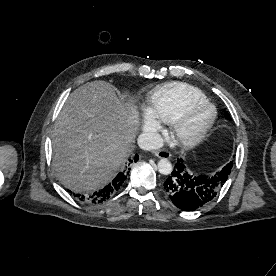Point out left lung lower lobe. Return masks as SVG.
I'll return each mask as SVG.
<instances>
[{"label": "left lung lower lobe", "instance_id": "left-lung-lower-lobe-1", "mask_svg": "<svg viewBox=\"0 0 276 276\" xmlns=\"http://www.w3.org/2000/svg\"><path fill=\"white\" fill-rule=\"evenodd\" d=\"M232 167L225 166L213 175L192 172L184 160L177 159L171 175L163 184L166 195L183 210H194L214 199L228 179Z\"/></svg>", "mask_w": 276, "mask_h": 276}]
</instances>
